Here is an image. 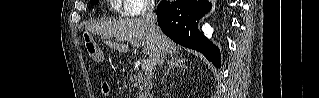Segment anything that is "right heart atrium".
<instances>
[{"instance_id":"1","label":"right heart atrium","mask_w":319,"mask_h":98,"mask_svg":"<svg viewBox=\"0 0 319 98\" xmlns=\"http://www.w3.org/2000/svg\"><path fill=\"white\" fill-rule=\"evenodd\" d=\"M125 6L122 9V13L125 16L132 17L144 14L150 11L149 1L143 0H124Z\"/></svg>"}]
</instances>
